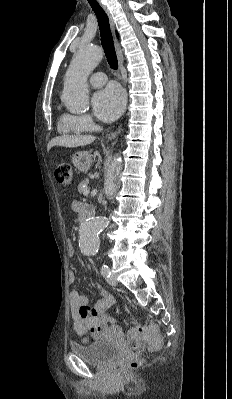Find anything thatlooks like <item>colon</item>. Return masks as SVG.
Instances as JSON below:
<instances>
[{
    "instance_id": "1",
    "label": "colon",
    "mask_w": 232,
    "mask_h": 399,
    "mask_svg": "<svg viewBox=\"0 0 232 399\" xmlns=\"http://www.w3.org/2000/svg\"><path fill=\"white\" fill-rule=\"evenodd\" d=\"M55 179L59 181V185H74L73 169L69 163H56ZM156 321H147L146 326H134L130 330L131 340H120L121 353H144L148 328H156ZM79 342H84V337H79ZM89 347H94V342H89ZM124 361L121 366L124 374L130 373V368L134 365H143V358H137V355H124Z\"/></svg>"
}]
</instances>
